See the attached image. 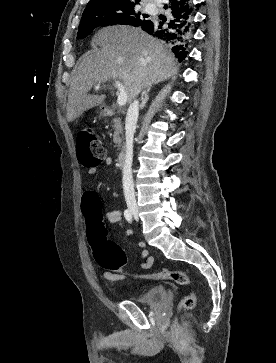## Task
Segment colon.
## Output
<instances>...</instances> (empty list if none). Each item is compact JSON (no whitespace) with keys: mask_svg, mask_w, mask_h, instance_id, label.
I'll use <instances>...</instances> for the list:
<instances>
[{"mask_svg":"<svg viewBox=\"0 0 276 363\" xmlns=\"http://www.w3.org/2000/svg\"><path fill=\"white\" fill-rule=\"evenodd\" d=\"M77 150L85 166H96L105 158V149L100 139L89 128L78 132ZM89 242L93 248V256L97 264L109 271H117L126 264V255L122 248L113 241L106 239V228L100 222L96 211H88ZM180 286H189L190 278L182 270L163 268L159 272ZM196 305V296L193 292L185 295L181 301L178 314L186 315Z\"/></svg>","mask_w":276,"mask_h":363,"instance_id":"5ec220e1","label":"colon"}]
</instances>
